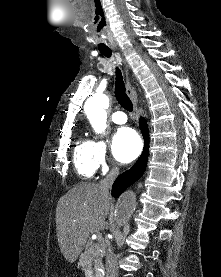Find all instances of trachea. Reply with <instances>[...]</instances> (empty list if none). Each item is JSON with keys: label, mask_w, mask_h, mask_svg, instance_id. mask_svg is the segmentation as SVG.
Returning a JSON list of instances; mask_svg holds the SVG:
<instances>
[{"label": "trachea", "mask_w": 221, "mask_h": 277, "mask_svg": "<svg viewBox=\"0 0 221 277\" xmlns=\"http://www.w3.org/2000/svg\"><path fill=\"white\" fill-rule=\"evenodd\" d=\"M101 53L107 58H111L112 56V52L110 50L101 51ZM115 97L118 103L121 105V107H123L127 111L132 112L133 104L130 98L126 94V88L123 81V76H122L121 70L118 67H116Z\"/></svg>", "instance_id": "3493384b"}]
</instances>
